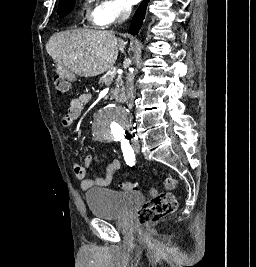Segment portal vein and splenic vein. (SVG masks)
<instances>
[{
  "label": "portal vein and splenic vein",
  "instance_id": "obj_1",
  "mask_svg": "<svg viewBox=\"0 0 256 267\" xmlns=\"http://www.w3.org/2000/svg\"><path fill=\"white\" fill-rule=\"evenodd\" d=\"M107 74H109V76H112V74H116V68L112 67L111 69L108 70Z\"/></svg>",
  "mask_w": 256,
  "mask_h": 267
}]
</instances>
